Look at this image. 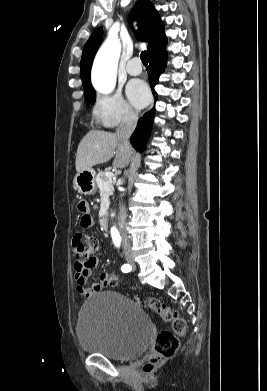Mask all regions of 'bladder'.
I'll use <instances>...</instances> for the list:
<instances>
[{
    "label": "bladder",
    "instance_id": "1",
    "mask_svg": "<svg viewBox=\"0 0 267 391\" xmlns=\"http://www.w3.org/2000/svg\"><path fill=\"white\" fill-rule=\"evenodd\" d=\"M76 333L85 352L129 360L145 351L153 324L134 301L118 292L105 291L81 306Z\"/></svg>",
    "mask_w": 267,
    "mask_h": 391
}]
</instances>
